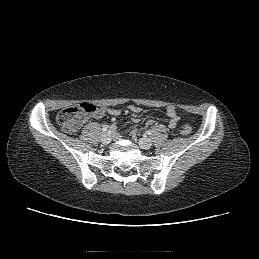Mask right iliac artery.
<instances>
[{"instance_id": "1", "label": "right iliac artery", "mask_w": 259, "mask_h": 259, "mask_svg": "<svg viewBox=\"0 0 259 259\" xmlns=\"http://www.w3.org/2000/svg\"><path fill=\"white\" fill-rule=\"evenodd\" d=\"M102 130L105 132L108 130V126H103Z\"/></svg>"}]
</instances>
